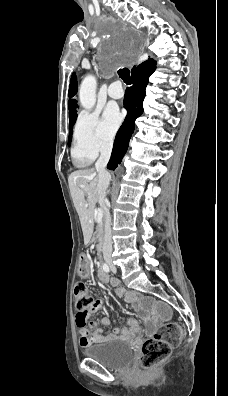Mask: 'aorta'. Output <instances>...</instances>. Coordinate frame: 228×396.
<instances>
[{"label": "aorta", "mask_w": 228, "mask_h": 396, "mask_svg": "<svg viewBox=\"0 0 228 396\" xmlns=\"http://www.w3.org/2000/svg\"><path fill=\"white\" fill-rule=\"evenodd\" d=\"M97 80L93 75H88L81 83L79 90L80 104L84 109L90 110L96 103Z\"/></svg>", "instance_id": "762f6f07"}]
</instances>
